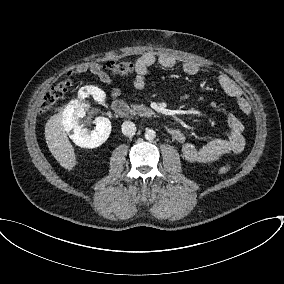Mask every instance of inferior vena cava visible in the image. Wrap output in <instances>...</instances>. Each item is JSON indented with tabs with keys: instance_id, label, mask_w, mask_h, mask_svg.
I'll return each mask as SVG.
<instances>
[{
	"instance_id": "inferior-vena-cava-1",
	"label": "inferior vena cava",
	"mask_w": 284,
	"mask_h": 284,
	"mask_svg": "<svg viewBox=\"0 0 284 284\" xmlns=\"http://www.w3.org/2000/svg\"><path fill=\"white\" fill-rule=\"evenodd\" d=\"M136 132V126L131 121H125L122 124V133L128 137H131Z\"/></svg>"
}]
</instances>
